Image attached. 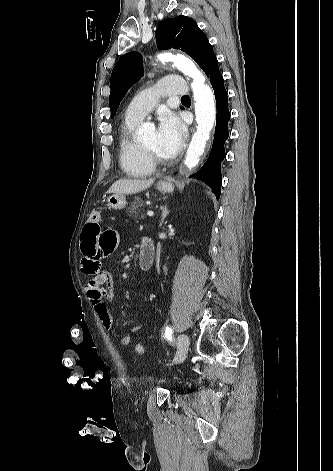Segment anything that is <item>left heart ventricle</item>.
Returning a JSON list of instances; mask_svg holds the SVG:
<instances>
[{
  "label": "left heart ventricle",
  "instance_id": "obj_1",
  "mask_svg": "<svg viewBox=\"0 0 333 471\" xmlns=\"http://www.w3.org/2000/svg\"><path fill=\"white\" fill-rule=\"evenodd\" d=\"M143 144L154 151L158 156L161 158H167L164 154H162L159 150L158 145V134L157 131H153L144 141Z\"/></svg>",
  "mask_w": 333,
  "mask_h": 471
}]
</instances>
